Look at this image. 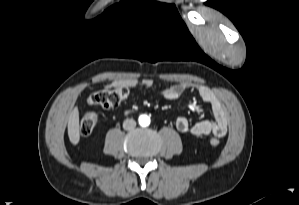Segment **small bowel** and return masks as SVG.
Returning <instances> with one entry per match:
<instances>
[{
  "instance_id": "obj_1",
  "label": "small bowel",
  "mask_w": 299,
  "mask_h": 205,
  "mask_svg": "<svg viewBox=\"0 0 299 205\" xmlns=\"http://www.w3.org/2000/svg\"><path fill=\"white\" fill-rule=\"evenodd\" d=\"M120 84H126L130 87L141 89H150L153 87L154 81L149 78L116 80L111 83L110 87H116ZM188 89H195L201 99L211 105L213 120L203 119L191 124L188 118L181 116L178 117L175 122L176 128L182 133H190L194 136H207L209 134H214L216 136L223 137L227 133L229 115L225 104L212 89L190 81H181L161 89L160 92L165 99L175 100Z\"/></svg>"
}]
</instances>
